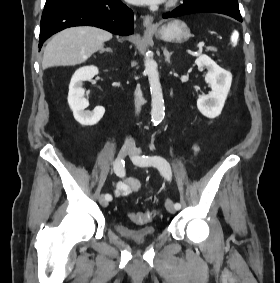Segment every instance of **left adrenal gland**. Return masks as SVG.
<instances>
[{"instance_id":"obj_1","label":"left adrenal gland","mask_w":280,"mask_h":283,"mask_svg":"<svg viewBox=\"0 0 280 283\" xmlns=\"http://www.w3.org/2000/svg\"><path fill=\"white\" fill-rule=\"evenodd\" d=\"M163 53H164V56H165V62L170 63V57L173 54V52H169L167 50V48H164Z\"/></svg>"}]
</instances>
